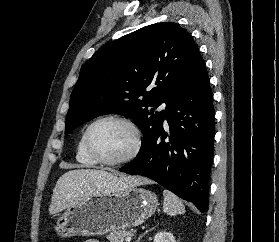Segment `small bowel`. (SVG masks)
Returning <instances> with one entry per match:
<instances>
[{
    "label": "small bowel",
    "mask_w": 279,
    "mask_h": 242,
    "mask_svg": "<svg viewBox=\"0 0 279 242\" xmlns=\"http://www.w3.org/2000/svg\"><path fill=\"white\" fill-rule=\"evenodd\" d=\"M85 242H99V241L94 240V239H89V240H86Z\"/></svg>",
    "instance_id": "1"
}]
</instances>
